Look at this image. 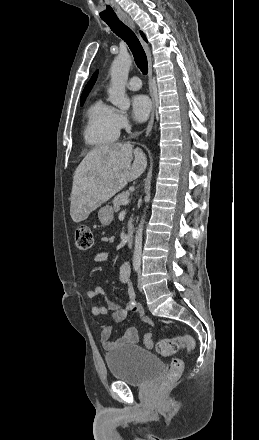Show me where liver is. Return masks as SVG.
Here are the masks:
<instances>
[{"label":"liver","mask_w":259,"mask_h":440,"mask_svg":"<svg viewBox=\"0 0 259 440\" xmlns=\"http://www.w3.org/2000/svg\"><path fill=\"white\" fill-rule=\"evenodd\" d=\"M147 167L140 148L130 143L102 145L91 150L77 167L71 191L70 215L75 223L139 178Z\"/></svg>","instance_id":"6515ba94"}]
</instances>
